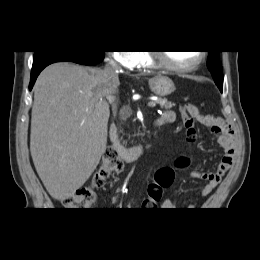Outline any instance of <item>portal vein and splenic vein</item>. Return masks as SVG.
I'll return each mask as SVG.
<instances>
[{
	"mask_svg": "<svg viewBox=\"0 0 260 260\" xmlns=\"http://www.w3.org/2000/svg\"><path fill=\"white\" fill-rule=\"evenodd\" d=\"M148 106L149 107H155L156 106V102L155 101H150V102H148Z\"/></svg>",
	"mask_w": 260,
	"mask_h": 260,
	"instance_id": "18ae733b",
	"label": "portal vein and splenic vein"
}]
</instances>
